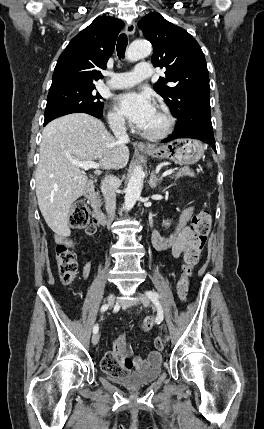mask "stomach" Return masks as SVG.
I'll return each instance as SVG.
<instances>
[{
	"mask_svg": "<svg viewBox=\"0 0 264 429\" xmlns=\"http://www.w3.org/2000/svg\"><path fill=\"white\" fill-rule=\"evenodd\" d=\"M144 153L154 158L170 159L178 164L189 165L203 156L204 146L199 140L177 139Z\"/></svg>",
	"mask_w": 264,
	"mask_h": 429,
	"instance_id": "obj_1",
	"label": "stomach"
}]
</instances>
